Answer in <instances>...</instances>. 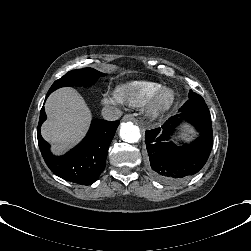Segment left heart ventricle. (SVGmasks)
<instances>
[{"label": "left heart ventricle", "instance_id": "1", "mask_svg": "<svg viewBox=\"0 0 251 251\" xmlns=\"http://www.w3.org/2000/svg\"><path fill=\"white\" fill-rule=\"evenodd\" d=\"M173 99H174V93L172 89L170 88L163 89L160 92L159 98H158L159 103L163 105L171 103Z\"/></svg>", "mask_w": 251, "mask_h": 251}]
</instances>
